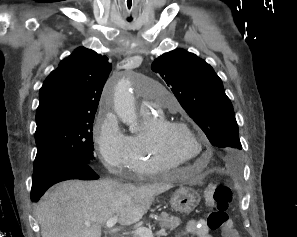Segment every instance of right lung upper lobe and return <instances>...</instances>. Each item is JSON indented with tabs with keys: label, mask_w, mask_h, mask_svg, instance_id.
I'll use <instances>...</instances> for the list:
<instances>
[{
	"label": "right lung upper lobe",
	"mask_w": 297,
	"mask_h": 237,
	"mask_svg": "<svg viewBox=\"0 0 297 237\" xmlns=\"http://www.w3.org/2000/svg\"><path fill=\"white\" fill-rule=\"evenodd\" d=\"M110 71L106 56L84 47L76 49L40 88L36 124L54 116L95 115Z\"/></svg>",
	"instance_id": "1"
}]
</instances>
